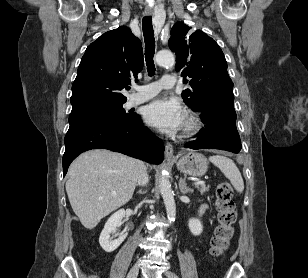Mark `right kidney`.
Returning <instances> with one entry per match:
<instances>
[{
	"mask_svg": "<svg viewBox=\"0 0 308 278\" xmlns=\"http://www.w3.org/2000/svg\"><path fill=\"white\" fill-rule=\"evenodd\" d=\"M125 217V211L123 209L115 212L106 222L104 229L102 230L99 243L102 249L106 252H113L120 244L125 240L127 233L121 235L117 239L112 240L111 234L116 232L117 227L122 224V219Z\"/></svg>",
	"mask_w": 308,
	"mask_h": 278,
	"instance_id": "1",
	"label": "right kidney"
}]
</instances>
